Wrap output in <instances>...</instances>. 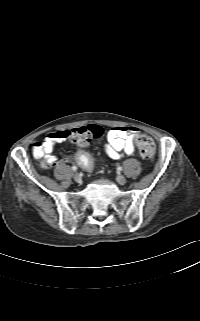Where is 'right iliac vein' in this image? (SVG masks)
<instances>
[{"instance_id":"63e3f726","label":"right iliac vein","mask_w":200,"mask_h":321,"mask_svg":"<svg viewBox=\"0 0 200 321\" xmlns=\"http://www.w3.org/2000/svg\"><path fill=\"white\" fill-rule=\"evenodd\" d=\"M73 177H74V180L76 182H80L81 181V177H80V175L78 173H75Z\"/></svg>"}]
</instances>
